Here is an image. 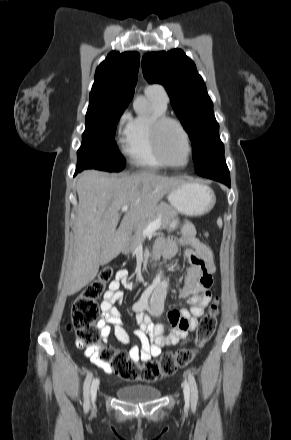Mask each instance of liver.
Wrapping results in <instances>:
<instances>
[{
	"mask_svg": "<svg viewBox=\"0 0 291 440\" xmlns=\"http://www.w3.org/2000/svg\"><path fill=\"white\" fill-rule=\"evenodd\" d=\"M182 182L152 171L121 177L84 171L77 181L76 248L69 295L93 281L99 267L127 247L132 228L150 217L163 196ZM126 205L130 208L117 230L118 212Z\"/></svg>",
	"mask_w": 291,
	"mask_h": 440,
	"instance_id": "liver-1",
	"label": "liver"
}]
</instances>
